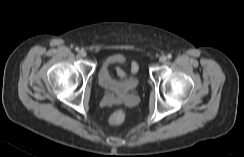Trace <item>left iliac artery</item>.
Here are the masks:
<instances>
[{"label":"left iliac artery","instance_id":"left-iliac-artery-1","mask_svg":"<svg viewBox=\"0 0 244 157\" xmlns=\"http://www.w3.org/2000/svg\"><path fill=\"white\" fill-rule=\"evenodd\" d=\"M167 57H168V59H171L172 58V55L171 54H168Z\"/></svg>","mask_w":244,"mask_h":157}]
</instances>
